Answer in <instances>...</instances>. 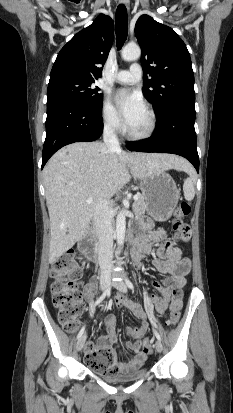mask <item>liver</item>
Returning a JSON list of instances; mask_svg holds the SVG:
<instances>
[{
	"mask_svg": "<svg viewBox=\"0 0 233 413\" xmlns=\"http://www.w3.org/2000/svg\"><path fill=\"white\" fill-rule=\"evenodd\" d=\"M156 171L190 170L189 163L169 154L109 150L102 142H76L57 151L44 170L50 218L49 262L54 263L83 236L98 203L130 181ZM93 201L88 203L87 199Z\"/></svg>",
	"mask_w": 233,
	"mask_h": 413,
	"instance_id": "6515ba94",
	"label": "liver"
}]
</instances>
